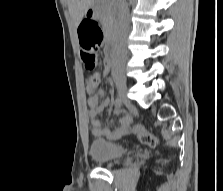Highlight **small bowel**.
Returning <instances> with one entry per match:
<instances>
[{
    "label": "small bowel",
    "instance_id": "small-bowel-1",
    "mask_svg": "<svg viewBox=\"0 0 223 191\" xmlns=\"http://www.w3.org/2000/svg\"><path fill=\"white\" fill-rule=\"evenodd\" d=\"M89 28H98L95 25L87 24ZM112 67V62L107 58H104V75L107 76L110 73ZM88 106H89V119L91 125V132L96 137H102L105 139H118L121 138L131 131V123L132 117L129 114H126L119 120V125L114 128H105L102 129L101 122L98 119V115L104 111V109L109 104V98L106 96L104 90L102 88H95L93 89L91 85H88ZM115 114L122 113V109L115 105L114 109Z\"/></svg>",
    "mask_w": 223,
    "mask_h": 191
}]
</instances>
